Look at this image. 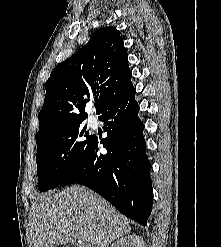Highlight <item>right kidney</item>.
<instances>
[{
  "label": "right kidney",
  "mask_w": 221,
  "mask_h": 247,
  "mask_svg": "<svg viewBox=\"0 0 221 247\" xmlns=\"http://www.w3.org/2000/svg\"><path fill=\"white\" fill-rule=\"evenodd\" d=\"M111 247H144V241L140 236L128 235L114 242Z\"/></svg>",
  "instance_id": "1"
}]
</instances>
